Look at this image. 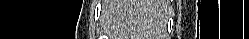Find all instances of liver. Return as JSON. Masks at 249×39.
I'll list each match as a JSON object with an SVG mask.
<instances>
[{"mask_svg":"<svg viewBox=\"0 0 249 39\" xmlns=\"http://www.w3.org/2000/svg\"><path fill=\"white\" fill-rule=\"evenodd\" d=\"M167 12L166 0H110L106 30L114 39H162Z\"/></svg>","mask_w":249,"mask_h":39,"instance_id":"6515ba94","label":"liver"}]
</instances>
